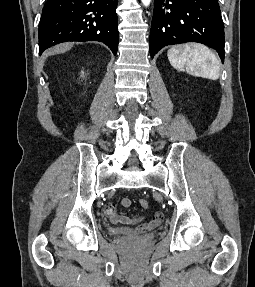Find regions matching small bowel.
I'll return each mask as SVG.
<instances>
[{
	"label": "small bowel",
	"instance_id": "1",
	"mask_svg": "<svg viewBox=\"0 0 255 287\" xmlns=\"http://www.w3.org/2000/svg\"><path fill=\"white\" fill-rule=\"evenodd\" d=\"M124 207H129L131 205V200L129 198H123L121 201ZM105 214L108 216L113 224H125L129 226H135L141 231L152 230L159 226L163 221V214L161 212L156 213L149 222H143V217L141 216H125L120 215L116 211V205L114 203H109L105 206Z\"/></svg>",
	"mask_w": 255,
	"mask_h": 287
}]
</instances>
